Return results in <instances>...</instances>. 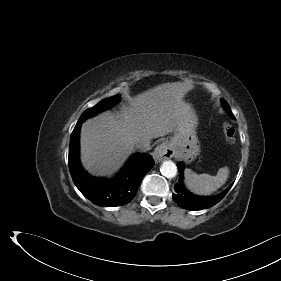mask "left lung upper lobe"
Instances as JSON below:
<instances>
[{
	"instance_id": "1",
	"label": "left lung upper lobe",
	"mask_w": 281,
	"mask_h": 281,
	"mask_svg": "<svg viewBox=\"0 0 281 281\" xmlns=\"http://www.w3.org/2000/svg\"><path fill=\"white\" fill-rule=\"evenodd\" d=\"M222 103H223V105L225 106V108L227 109V111L229 112V114H230L231 116H233V114H232V112H231V109H230L228 103H227L224 99L222 100ZM233 117H234V116H233Z\"/></svg>"
}]
</instances>
